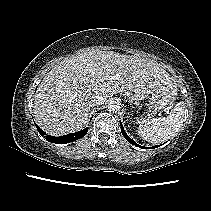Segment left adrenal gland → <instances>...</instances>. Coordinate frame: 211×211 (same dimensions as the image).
<instances>
[{
  "label": "left adrenal gland",
  "mask_w": 211,
  "mask_h": 211,
  "mask_svg": "<svg viewBox=\"0 0 211 211\" xmlns=\"http://www.w3.org/2000/svg\"><path fill=\"white\" fill-rule=\"evenodd\" d=\"M129 115H131V113H128L127 118H129Z\"/></svg>",
  "instance_id": "obj_1"
}]
</instances>
